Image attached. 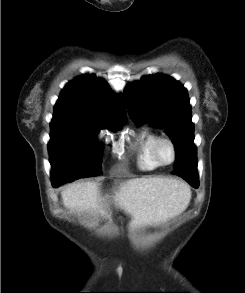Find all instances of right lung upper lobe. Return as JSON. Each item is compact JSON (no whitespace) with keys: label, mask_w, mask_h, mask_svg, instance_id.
<instances>
[{"label":"right lung upper lobe","mask_w":245,"mask_h":293,"mask_svg":"<svg viewBox=\"0 0 245 293\" xmlns=\"http://www.w3.org/2000/svg\"><path fill=\"white\" fill-rule=\"evenodd\" d=\"M123 96L111 92L104 79L85 74L70 81L54 107L52 122L115 129L126 124Z\"/></svg>","instance_id":"obj_1"}]
</instances>
